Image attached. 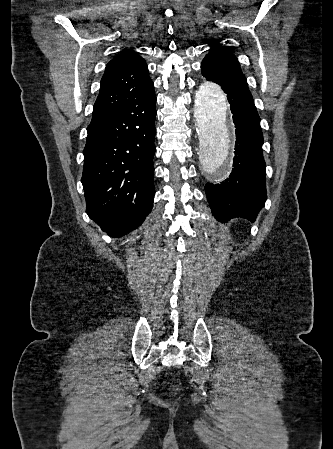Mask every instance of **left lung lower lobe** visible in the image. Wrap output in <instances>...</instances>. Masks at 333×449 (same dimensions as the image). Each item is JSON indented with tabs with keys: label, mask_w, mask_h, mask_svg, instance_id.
<instances>
[{
	"label": "left lung lower lobe",
	"mask_w": 333,
	"mask_h": 449,
	"mask_svg": "<svg viewBox=\"0 0 333 449\" xmlns=\"http://www.w3.org/2000/svg\"><path fill=\"white\" fill-rule=\"evenodd\" d=\"M203 76L219 84L227 94L236 127L234 168L229 178L221 184L205 185L212 213L223 223L238 216L253 222L267 199L259 115L248 88Z\"/></svg>",
	"instance_id": "left-lung-lower-lobe-1"
}]
</instances>
